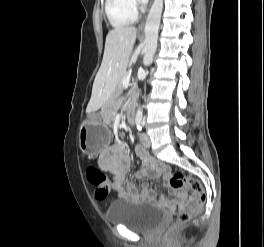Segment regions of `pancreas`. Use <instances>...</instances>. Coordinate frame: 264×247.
<instances>
[{
	"label": "pancreas",
	"mask_w": 264,
	"mask_h": 247,
	"mask_svg": "<svg viewBox=\"0 0 264 247\" xmlns=\"http://www.w3.org/2000/svg\"><path fill=\"white\" fill-rule=\"evenodd\" d=\"M127 76H128V74H125V75L123 76L122 80H123L125 77H127ZM122 80L119 82V84H118V86H117V88H116L115 96L119 95V94L121 93L122 89H123Z\"/></svg>",
	"instance_id": "1"
}]
</instances>
